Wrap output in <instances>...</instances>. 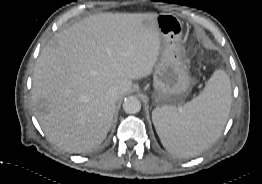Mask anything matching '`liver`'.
<instances>
[{"mask_svg":"<svg viewBox=\"0 0 262 184\" xmlns=\"http://www.w3.org/2000/svg\"><path fill=\"white\" fill-rule=\"evenodd\" d=\"M156 13L91 15L57 33L33 73L35 115L48 139L67 152L89 151L106 138L132 80L147 77L161 48Z\"/></svg>","mask_w":262,"mask_h":184,"instance_id":"liver-1","label":"liver"}]
</instances>
